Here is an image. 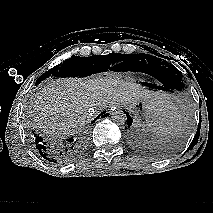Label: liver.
Segmentation results:
<instances>
[{"mask_svg": "<svg viewBox=\"0 0 213 213\" xmlns=\"http://www.w3.org/2000/svg\"><path fill=\"white\" fill-rule=\"evenodd\" d=\"M165 96L148 92L139 85L119 78L52 80L36 92L32 103L34 126L45 134L60 138L75 133L89 122V109L100 111L106 105L122 104L129 108L139 102L164 109Z\"/></svg>", "mask_w": 213, "mask_h": 213, "instance_id": "obj_1", "label": "liver"}]
</instances>
